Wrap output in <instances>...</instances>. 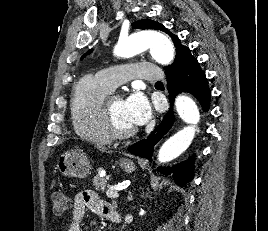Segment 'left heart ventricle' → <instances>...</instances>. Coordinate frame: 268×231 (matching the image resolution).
I'll return each instance as SVG.
<instances>
[{
  "mask_svg": "<svg viewBox=\"0 0 268 231\" xmlns=\"http://www.w3.org/2000/svg\"><path fill=\"white\" fill-rule=\"evenodd\" d=\"M113 115L117 125L123 130L136 128L127 111L125 100L116 99L113 103Z\"/></svg>",
  "mask_w": 268,
  "mask_h": 231,
  "instance_id": "left-heart-ventricle-1",
  "label": "left heart ventricle"
}]
</instances>
